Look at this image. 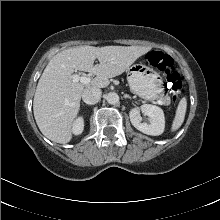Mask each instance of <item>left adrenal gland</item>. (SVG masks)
I'll use <instances>...</instances> for the list:
<instances>
[{
  "mask_svg": "<svg viewBox=\"0 0 220 220\" xmlns=\"http://www.w3.org/2000/svg\"><path fill=\"white\" fill-rule=\"evenodd\" d=\"M124 98L126 99V98H128V99H132L129 95H124Z\"/></svg>",
  "mask_w": 220,
  "mask_h": 220,
  "instance_id": "left-adrenal-gland-1",
  "label": "left adrenal gland"
}]
</instances>
